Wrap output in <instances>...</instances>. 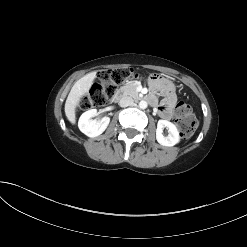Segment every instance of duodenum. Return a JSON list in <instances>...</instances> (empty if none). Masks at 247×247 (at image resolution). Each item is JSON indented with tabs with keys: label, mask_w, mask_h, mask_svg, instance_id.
I'll return each instance as SVG.
<instances>
[{
	"label": "duodenum",
	"mask_w": 247,
	"mask_h": 247,
	"mask_svg": "<svg viewBox=\"0 0 247 247\" xmlns=\"http://www.w3.org/2000/svg\"><path fill=\"white\" fill-rule=\"evenodd\" d=\"M118 94L116 95V97H115V100L116 101H119L123 96H124V94H123V89H118ZM145 100L147 101V102H149L150 104H152L153 103V98L152 97H150V96H146L145 97Z\"/></svg>",
	"instance_id": "obj_1"
}]
</instances>
